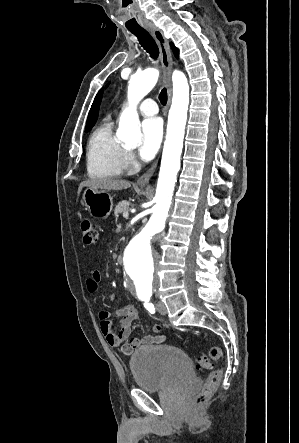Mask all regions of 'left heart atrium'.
Returning <instances> with one entry per match:
<instances>
[{
  "mask_svg": "<svg viewBox=\"0 0 299 443\" xmlns=\"http://www.w3.org/2000/svg\"><path fill=\"white\" fill-rule=\"evenodd\" d=\"M163 135V122L151 117L142 123V139L138 153L143 160H150L157 152Z\"/></svg>",
  "mask_w": 299,
  "mask_h": 443,
  "instance_id": "39dd6f15",
  "label": "left heart atrium"
}]
</instances>
